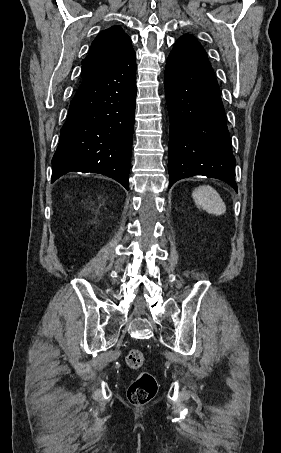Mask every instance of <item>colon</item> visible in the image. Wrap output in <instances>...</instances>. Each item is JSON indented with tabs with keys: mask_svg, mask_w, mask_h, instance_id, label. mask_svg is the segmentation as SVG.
<instances>
[{
	"mask_svg": "<svg viewBox=\"0 0 281 453\" xmlns=\"http://www.w3.org/2000/svg\"><path fill=\"white\" fill-rule=\"evenodd\" d=\"M123 360L136 372V377L127 391L128 401L136 405L150 402L157 393L158 382L154 374L144 371V355L138 350H130L124 354Z\"/></svg>",
	"mask_w": 281,
	"mask_h": 453,
	"instance_id": "colon-1",
	"label": "colon"
}]
</instances>
